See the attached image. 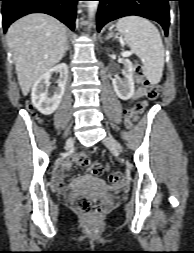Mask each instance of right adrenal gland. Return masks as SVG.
<instances>
[{"mask_svg":"<svg viewBox=\"0 0 194 253\" xmlns=\"http://www.w3.org/2000/svg\"><path fill=\"white\" fill-rule=\"evenodd\" d=\"M69 48H70V45H69V41H68V39H67V43H66V48H65L64 56H65V54H66V51L69 50Z\"/></svg>","mask_w":194,"mask_h":253,"instance_id":"right-adrenal-gland-1","label":"right adrenal gland"}]
</instances>
